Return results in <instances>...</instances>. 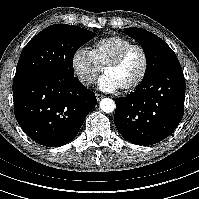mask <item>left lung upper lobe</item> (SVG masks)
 I'll list each match as a JSON object with an SVG mask.
<instances>
[{"instance_id":"left-lung-upper-lobe-1","label":"left lung upper lobe","mask_w":199,"mask_h":199,"mask_svg":"<svg viewBox=\"0 0 199 199\" xmlns=\"http://www.w3.org/2000/svg\"><path fill=\"white\" fill-rule=\"evenodd\" d=\"M124 33L133 37L143 47L147 56V68L143 80L164 67L178 62L172 49L161 38L142 28H125Z\"/></svg>"}]
</instances>
